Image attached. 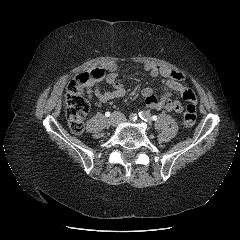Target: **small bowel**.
<instances>
[{
    "label": "small bowel",
    "mask_w": 240,
    "mask_h": 240,
    "mask_svg": "<svg viewBox=\"0 0 240 240\" xmlns=\"http://www.w3.org/2000/svg\"><path fill=\"white\" fill-rule=\"evenodd\" d=\"M105 75L101 80H105L111 89L101 92L98 88V83L101 80H94L88 85V93L95 100L97 105H102L114 99L122 98L125 94L123 85L118 81L117 65L108 63L102 68ZM143 69L152 77L161 76L163 78L164 92L157 97L151 87H146L142 90V96L146 106L153 110H167L182 112L184 106L177 100L171 98V92L177 91L182 98L187 102L196 104V96L194 91L186 85L185 76L178 71L167 67H159L154 63H146Z\"/></svg>",
    "instance_id": "obj_1"
}]
</instances>
